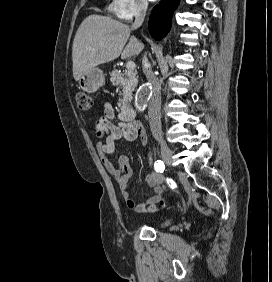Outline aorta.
<instances>
[{
    "instance_id": "1",
    "label": "aorta",
    "mask_w": 272,
    "mask_h": 282,
    "mask_svg": "<svg viewBox=\"0 0 272 282\" xmlns=\"http://www.w3.org/2000/svg\"><path fill=\"white\" fill-rule=\"evenodd\" d=\"M143 96H144V91H142V95H141V97H140V98H141V99H143Z\"/></svg>"
}]
</instances>
